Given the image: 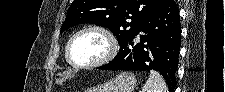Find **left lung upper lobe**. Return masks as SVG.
<instances>
[{"label": "left lung upper lobe", "mask_w": 225, "mask_h": 92, "mask_svg": "<svg viewBox=\"0 0 225 92\" xmlns=\"http://www.w3.org/2000/svg\"><path fill=\"white\" fill-rule=\"evenodd\" d=\"M166 0H74L61 33L81 23L108 27L119 45L134 36L142 22Z\"/></svg>", "instance_id": "5c2ea615"}]
</instances>
